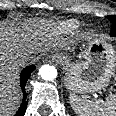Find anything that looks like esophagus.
I'll list each match as a JSON object with an SVG mask.
<instances>
[{"label": "esophagus", "mask_w": 116, "mask_h": 116, "mask_svg": "<svg viewBox=\"0 0 116 116\" xmlns=\"http://www.w3.org/2000/svg\"><path fill=\"white\" fill-rule=\"evenodd\" d=\"M56 61V56L49 55L46 59L45 62H54Z\"/></svg>", "instance_id": "esophagus-1"}]
</instances>
